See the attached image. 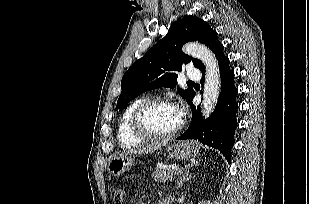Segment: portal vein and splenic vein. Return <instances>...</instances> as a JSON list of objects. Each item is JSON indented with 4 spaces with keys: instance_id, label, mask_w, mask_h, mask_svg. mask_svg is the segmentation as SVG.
<instances>
[{
    "instance_id": "18ae733b",
    "label": "portal vein and splenic vein",
    "mask_w": 309,
    "mask_h": 204,
    "mask_svg": "<svg viewBox=\"0 0 309 204\" xmlns=\"http://www.w3.org/2000/svg\"><path fill=\"white\" fill-rule=\"evenodd\" d=\"M182 170H183V168H178V169H177V173H181Z\"/></svg>"
}]
</instances>
